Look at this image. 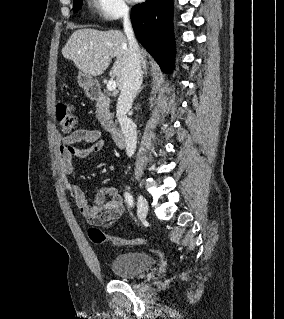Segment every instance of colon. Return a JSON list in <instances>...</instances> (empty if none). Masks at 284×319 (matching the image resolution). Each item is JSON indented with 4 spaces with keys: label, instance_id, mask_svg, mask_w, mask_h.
Masks as SVG:
<instances>
[{
    "label": "colon",
    "instance_id": "obj_1",
    "mask_svg": "<svg viewBox=\"0 0 284 319\" xmlns=\"http://www.w3.org/2000/svg\"><path fill=\"white\" fill-rule=\"evenodd\" d=\"M56 119L60 129L64 133H70L76 127V117L73 113L72 105L68 102L61 101L56 105ZM88 236L95 244L110 243L121 247L139 245L146 242L143 238L126 239L107 236L97 227L89 228Z\"/></svg>",
    "mask_w": 284,
    "mask_h": 319
}]
</instances>
